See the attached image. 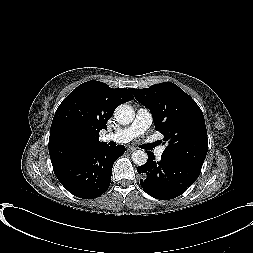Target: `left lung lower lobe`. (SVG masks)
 Returning a JSON list of instances; mask_svg holds the SVG:
<instances>
[{"label": "left lung lower lobe", "mask_w": 253, "mask_h": 253, "mask_svg": "<svg viewBox=\"0 0 253 253\" xmlns=\"http://www.w3.org/2000/svg\"><path fill=\"white\" fill-rule=\"evenodd\" d=\"M147 162L137 167L141 187L152 197L169 200L183 194L198 178L201 168L190 162L162 154L159 162L147 152Z\"/></svg>", "instance_id": "0a47b994"}]
</instances>
